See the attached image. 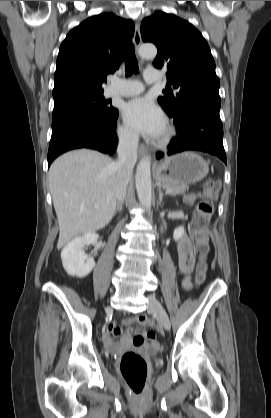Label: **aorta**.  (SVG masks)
Wrapping results in <instances>:
<instances>
[{"mask_svg": "<svg viewBox=\"0 0 271 418\" xmlns=\"http://www.w3.org/2000/svg\"><path fill=\"white\" fill-rule=\"evenodd\" d=\"M139 54L143 58H155L157 48L153 44L142 45ZM136 190L140 203L146 208H151L152 187H151V158L145 157L137 165Z\"/></svg>", "mask_w": 271, "mask_h": 418, "instance_id": "1", "label": "aorta"}]
</instances>
